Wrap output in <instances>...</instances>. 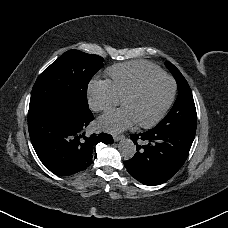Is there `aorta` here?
Here are the masks:
<instances>
[{"label": "aorta", "instance_id": "obj_1", "mask_svg": "<svg viewBox=\"0 0 228 228\" xmlns=\"http://www.w3.org/2000/svg\"><path fill=\"white\" fill-rule=\"evenodd\" d=\"M118 149L125 159H131L136 153V146L130 139H122L118 144Z\"/></svg>", "mask_w": 228, "mask_h": 228}]
</instances>
